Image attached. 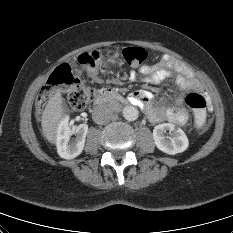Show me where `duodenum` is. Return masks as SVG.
<instances>
[{
	"mask_svg": "<svg viewBox=\"0 0 233 233\" xmlns=\"http://www.w3.org/2000/svg\"><path fill=\"white\" fill-rule=\"evenodd\" d=\"M126 100L118 92L111 88H104L97 94L95 98L96 105H102L105 103H125Z\"/></svg>",
	"mask_w": 233,
	"mask_h": 233,
	"instance_id": "obj_1",
	"label": "duodenum"
}]
</instances>
